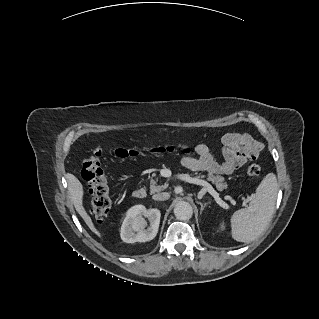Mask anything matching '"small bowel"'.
<instances>
[{"mask_svg":"<svg viewBox=\"0 0 319 319\" xmlns=\"http://www.w3.org/2000/svg\"><path fill=\"white\" fill-rule=\"evenodd\" d=\"M223 162H217L212 150L206 144L195 148L196 156H182L181 164L187 169L200 172L207 171L218 175H231L236 169L257 157L259 143L245 133H229L222 139Z\"/></svg>","mask_w":319,"mask_h":319,"instance_id":"1","label":"small bowel"}]
</instances>
